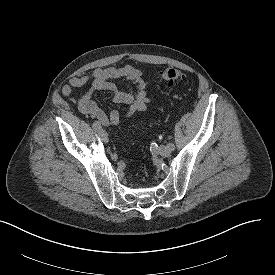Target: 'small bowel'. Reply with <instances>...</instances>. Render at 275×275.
Wrapping results in <instances>:
<instances>
[{"label": "small bowel", "instance_id": "1", "mask_svg": "<svg viewBox=\"0 0 275 275\" xmlns=\"http://www.w3.org/2000/svg\"><path fill=\"white\" fill-rule=\"evenodd\" d=\"M125 79L133 85L129 92H122L117 89L115 82ZM91 83L89 90L82 96H74V88H82ZM150 82L145 79L143 72L132 66L123 67L109 66L106 68H95L89 73L72 77L68 84L64 85L61 92L74 103L81 114L96 119L99 124L104 126H114L121 121V115L117 110L108 113L104 112L92 100L95 92L104 90L112 95L115 104L126 105L125 117L131 118L138 112H145L152 97L148 92Z\"/></svg>", "mask_w": 275, "mask_h": 275}]
</instances>
